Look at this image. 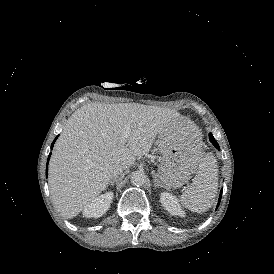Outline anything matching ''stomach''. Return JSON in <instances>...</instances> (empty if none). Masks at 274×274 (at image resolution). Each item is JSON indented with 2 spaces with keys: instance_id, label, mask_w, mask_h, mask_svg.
Returning <instances> with one entry per match:
<instances>
[{
  "instance_id": "1",
  "label": "stomach",
  "mask_w": 274,
  "mask_h": 274,
  "mask_svg": "<svg viewBox=\"0 0 274 274\" xmlns=\"http://www.w3.org/2000/svg\"><path fill=\"white\" fill-rule=\"evenodd\" d=\"M199 144L202 146L199 130L188 119L177 133L171 129L169 136H159L157 145L162 157L156 175L163 188H181L190 180L198 169L195 155L198 150H194V145Z\"/></svg>"
}]
</instances>
